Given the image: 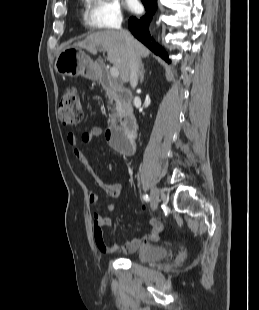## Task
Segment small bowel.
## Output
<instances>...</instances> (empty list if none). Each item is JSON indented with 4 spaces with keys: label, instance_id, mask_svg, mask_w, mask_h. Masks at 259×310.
I'll list each match as a JSON object with an SVG mask.
<instances>
[{
    "label": "small bowel",
    "instance_id": "small-bowel-1",
    "mask_svg": "<svg viewBox=\"0 0 259 310\" xmlns=\"http://www.w3.org/2000/svg\"><path fill=\"white\" fill-rule=\"evenodd\" d=\"M102 134V129L100 127H93L87 132H83L80 136V142L83 144H90L96 138ZM68 143L72 146V152L75 158L86 168L88 174L93 178L95 184L100 187L109 197L115 198L120 196L123 191V185L120 182L107 183L103 181L95 172L92 167L88 157L82 152L78 146L77 138L74 134L69 133L67 135ZM88 200L90 203H96L98 200V195L94 192L89 194ZM110 211L114 210V205L110 204L108 206ZM142 211H145V207H141ZM112 219L108 216H103L99 213H94L92 216V227L94 233V239L97 248L101 253L104 254H113L121 252L124 254H130L142 246L148 245L150 243L156 242L159 240L162 226L160 224L151 223V230L148 234L143 237H133L131 240L127 241L124 244H115L110 243L106 240L104 235V227L110 226Z\"/></svg>",
    "mask_w": 259,
    "mask_h": 310
}]
</instances>
